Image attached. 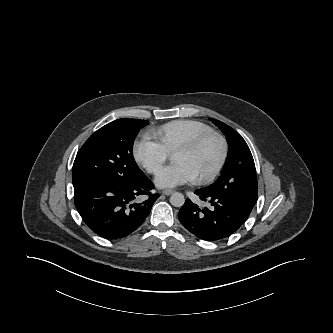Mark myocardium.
I'll use <instances>...</instances> for the list:
<instances>
[{
    "label": "myocardium",
    "mask_w": 333,
    "mask_h": 333,
    "mask_svg": "<svg viewBox=\"0 0 333 333\" xmlns=\"http://www.w3.org/2000/svg\"><path fill=\"white\" fill-rule=\"evenodd\" d=\"M210 139L219 140L222 148L221 157L219 159V162L211 172L204 176L194 178V182L196 184H207L212 182L220 175V173L224 169L229 157V144L226 137L220 132L212 130L185 142L172 152V157L176 154L192 152Z\"/></svg>",
    "instance_id": "1"
}]
</instances>
